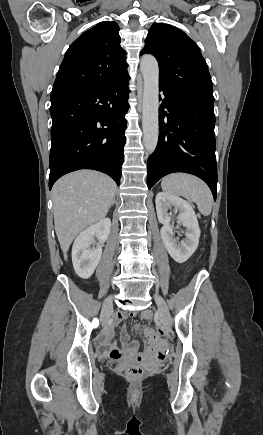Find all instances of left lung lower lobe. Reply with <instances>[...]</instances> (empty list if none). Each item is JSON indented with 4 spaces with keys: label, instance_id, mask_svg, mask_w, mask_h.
Instances as JSON below:
<instances>
[{
    "label": "left lung lower lobe",
    "instance_id": "0a47b994",
    "mask_svg": "<svg viewBox=\"0 0 263 435\" xmlns=\"http://www.w3.org/2000/svg\"><path fill=\"white\" fill-rule=\"evenodd\" d=\"M159 91L164 99L159 108L158 144L147 163L148 188L167 174L185 172L204 180L216 200L214 101L162 84Z\"/></svg>",
    "mask_w": 263,
    "mask_h": 435
}]
</instances>
